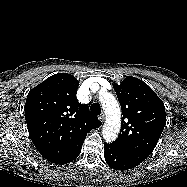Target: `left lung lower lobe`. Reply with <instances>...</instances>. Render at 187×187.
I'll list each match as a JSON object with an SVG mask.
<instances>
[{"label":"left lung lower lobe","mask_w":187,"mask_h":187,"mask_svg":"<svg viewBox=\"0 0 187 187\" xmlns=\"http://www.w3.org/2000/svg\"><path fill=\"white\" fill-rule=\"evenodd\" d=\"M104 157L107 164L114 170H128L136 167L141 162L122 154L110 144L104 143Z\"/></svg>","instance_id":"0a47b994"}]
</instances>
